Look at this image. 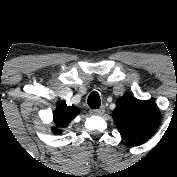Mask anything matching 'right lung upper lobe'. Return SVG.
<instances>
[{
	"label": "right lung upper lobe",
	"mask_w": 177,
	"mask_h": 177,
	"mask_svg": "<svg viewBox=\"0 0 177 177\" xmlns=\"http://www.w3.org/2000/svg\"><path fill=\"white\" fill-rule=\"evenodd\" d=\"M79 114V109L75 106H67L65 102L57 105L53 112V120L57 127L64 128L69 122ZM57 127L52 128V132L60 134L61 130Z\"/></svg>",
	"instance_id": "obj_1"
}]
</instances>
